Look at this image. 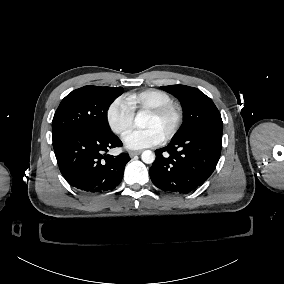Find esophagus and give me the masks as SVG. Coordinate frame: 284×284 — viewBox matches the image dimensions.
<instances>
[{
  "label": "esophagus",
  "instance_id": "esophagus-1",
  "mask_svg": "<svg viewBox=\"0 0 284 284\" xmlns=\"http://www.w3.org/2000/svg\"><path fill=\"white\" fill-rule=\"evenodd\" d=\"M142 152V150H138V151H130L129 155L131 158H133L135 155H138Z\"/></svg>",
  "mask_w": 284,
  "mask_h": 284
}]
</instances>
